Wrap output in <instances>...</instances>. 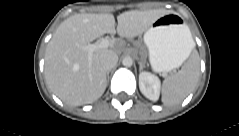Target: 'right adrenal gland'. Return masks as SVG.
Here are the masks:
<instances>
[{
  "instance_id": "right-adrenal-gland-1",
  "label": "right adrenal gland",
  "mask_w": 239,
  "mask_h": 136,
  "mask_svg": "<svg viewBox=\"0 0 239 136\" xmlns=\"http://www.w3.org/2000/svg\"><path fill=\"white\" fill-rule=\"evenodd\" d=\"M109 74H110V70H108V71L106 72L107 83H108V81H109Z\"/></svg>"
}]
</instances>
